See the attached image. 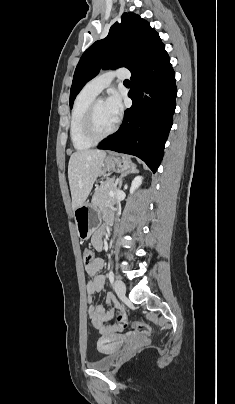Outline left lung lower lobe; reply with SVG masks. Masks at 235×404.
Instances as JSON below:
<instances>
[{
  "instance_id": "left-lung-lower-lobe-1",
  "label": "left lung lower lobe",
  "mask_w": 235,
  "mask_h": 404,
  "mask_svg": "<svg viewBox=\"0 0 235 404\" xmlns=\"http://www.w3.org/2000/svg\"><path fill=\"white\" fill-rule=\"evenodd\" d=\"M131 74L128 96L133 105L125 111L119 130L103 140L98 149L135 155L155 173L173 124L177 94L165 46Z\"/></svg>"
}]
</instances>
